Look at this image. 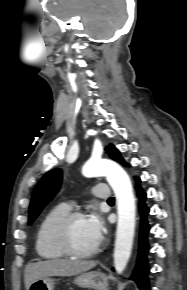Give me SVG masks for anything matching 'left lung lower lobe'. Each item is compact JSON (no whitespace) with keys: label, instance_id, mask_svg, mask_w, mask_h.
<instances>
[{"label":"left lung lower lobe","instance_id":"obj_1","mask_svg":"<svg viewBox=\"0 0 187 290\" xmlns=\"http://www.w3.org/2000/svg\"><path fill=\"white\" fill-rule=\"evenodd\" d=\"M138 195L140 197V213H141V231H140V242H139V257L137 266L131 276L140 290H150L148 279H147V271L148 266L146 262V253L148 250V243H147V233L149 231V225L147 223L146 216L148 215L149 209L144 204V200L146 198V193L140 187V179L138 177L135 178Z\"/></svg>","mask_w":187,"mask_h":290}]
</instances>
